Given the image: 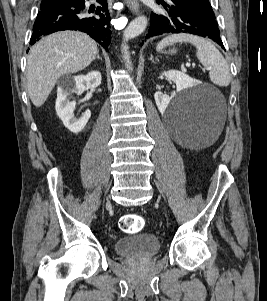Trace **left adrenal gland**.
Listing matches in <instances>:
<instances>
[{
  "label": "left adrenal gland",
  "instance_id": "1",
  "mask_svg": "<svg viewBox=\"0 0 267 301\" xmlns=\"http://www.w3.org/2000/svg\"><path fill=\"white\" fill-rule=\"evenodd\" d=\"M149 60L152 61L153 63H156V61H154V59H153V55L152 54H151Z\"/></svg>",
  "mask_w": 267,
  "mask_h": 301
}]
</instances>
